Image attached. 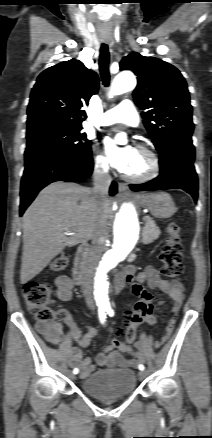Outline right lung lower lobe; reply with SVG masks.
Here are the masks:
<instances>
[{
    "label": "right lung lower lobe",
    "instance_id": "1",
    "mask_svg": "<svg viewBox=\"0 0 212 438\" xmlns=\"http://www.w3.org/2000/svg\"><path fill=\"white\" fill-rule=\"evenodd\" d=\"M93 171L91 149L62 150L34 146L25 150V170L21 180L20 216L38 192L55 181L78 182L87 179ZM117 192L112 183L110 195Z\"/></svg>",
    "mask_w": 212,
    "mask_h": 438
}]
</instances>
